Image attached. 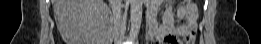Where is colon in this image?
<instances>
[{
  "mask_svg": "<svg viewBox=\"0 0 261 44\" xmlns=\"http://www.w3.org/2000/svg\"><path fill=\"white\" fill-rule=\"evenodd\" d=\"M182 5L183 6H192V1H183Z\"/></svg>",
  "mask_w": 261,
  "mask_h": 44,
  "instance_id": "5ec220e1",
  "label": "colon"
}]
</instances>
